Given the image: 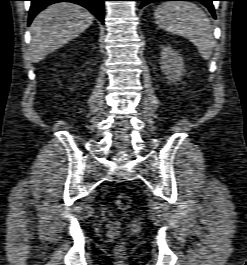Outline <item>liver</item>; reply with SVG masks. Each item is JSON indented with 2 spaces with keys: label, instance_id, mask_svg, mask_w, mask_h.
Here are the masks:
<instances>
[{
  "label": "liver",
  "instance_id": "1",
  "mask_svg": "<svg viewBox=\"0 0 247 265\" xmlns=\"http://www.w3.org/2000/svg\"><path fill=\"white\" fill-rule=\"evenodd\" d=\"M93 15L73 3H55L41 11L32 22L30 59L37 63L82 34L93 23Z\"/></svg>",
  "mask_w": 247,
  "mask_h": 265
}]
</instances>
